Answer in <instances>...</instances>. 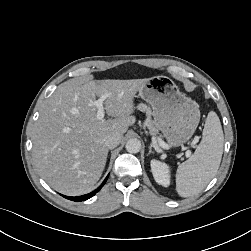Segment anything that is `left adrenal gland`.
Segmentation results:
<instances>
[{"label":"left adrenal gland","mask_w":251,"mask_h":251,"mask_svg":"<svg viewBox=\"0 0 251 251\" xmlns=\"http://www.w3.org/2000/svg\"><path fill=\"white\" fill-rule=\"evenodd\" d=\"M151 153H153V150H152V146L150 145L149 146V153L148 154H151Z\"/></svg>","instance_id":"1"}]
</instances>
